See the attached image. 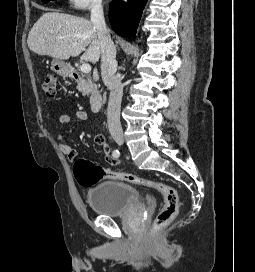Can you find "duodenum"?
Listing matches in <instances>:
<instances>
[{"instance_id": "duodenum-1", "label": "duodenum", "mask_w": 255, "mask_h": 272, "mask_svg": "<svg viewBox=\"0 0 255 272\" xmlns=\"http://www.w3.org/2000/svg\"><path fill=\"white\" fill-rule=\"evenodd\" d=\"M71 76L76 81H80L81 80V76L75 70L71 72ZM89 104H90L91 110L93 112L99 111L100 108H101V106H102V104H103V98H102V96L100 94H98V93H92L89 96Z\"/></svg>"}]
</instances>
